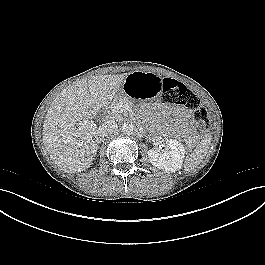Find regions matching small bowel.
<instances>
[{
	"instance_id": "1",
	"label": "small bowel",
	"mask_w": 265,
	"mask_h": 265,
	"mask_svg": "<svg viewBox=\"0 0 265 265\" xmlns=\"http://www.w3.org/2000/svg\"><path fill=\"white\" fill-rule=\"evenodd\" d=\"M175 112L176 114L181 117V118H185L188 116V111H186L185 109L183 108H177L175 109Z\"/></svg>"
}]
</instances>
